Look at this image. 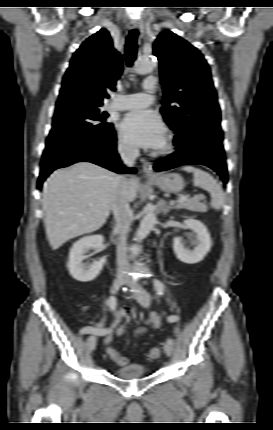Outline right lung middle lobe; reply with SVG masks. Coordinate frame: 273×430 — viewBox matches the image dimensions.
Segmentation results:
<instances>
[{
  "instance_id": "dd1d6c3e",
  "label": "right lung middle lobe",
  "mask_w": 273,
  "mask_h": 430,
  "mask_svg": "<svg viewBox=\"0 0 273 430\" xmlns=\"http://www.w3.org/2000/svg\"><path fill=\"white\" fill-rule=\"evenodd\" d=\"M99 105L73 101L56 107L44 153L92 140H108L114 129Z\"/></svg>"
}]
</instances>
